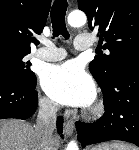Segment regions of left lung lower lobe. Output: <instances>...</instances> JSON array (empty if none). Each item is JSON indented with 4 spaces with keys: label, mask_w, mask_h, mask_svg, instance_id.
I'll return each instance as SVG.
<instances>
[{
    "label": "left lung lower lobe",
    "mask_w": 139,
    "mask_h": 150,
    "mask_svg": "<svg viewBox=\"0 0 139 150\" xmlns=\"http://www.w3.org/2000/svg\"><path fill=\"white\" fill-rule=\"evenodd\" d=\"M102 91L103 117L95 123H76L82 146L122 140L139 147V56L128 60Z\"/></svg>",
    "instance_id": "1"
}]
</instances>
